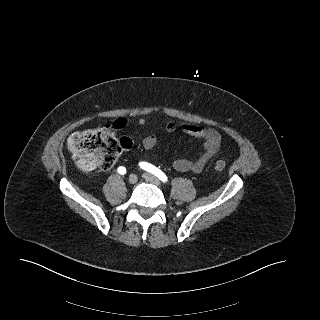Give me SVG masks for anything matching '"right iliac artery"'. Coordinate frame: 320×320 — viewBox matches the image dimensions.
Returning a JSON list of instances; mask_svg holds the SVG:
<instances>
[{"instance_id":"obj_1","label":"right iliac artery","mask_w":320,"mask_h":320,"mask_svg":"<svg viewBox=\"0 0 320 320\" xmlns=\"http://www.w3.org/2000/svg\"><path fill=\"white\" fill-rule=\"evenodd\" d=\"M117 170H118V173L122 175L126 174V168L123 166H120Z\"/></svg>"}]
</instances>
